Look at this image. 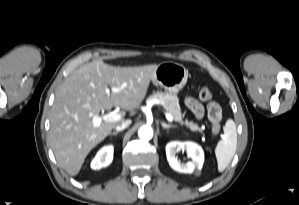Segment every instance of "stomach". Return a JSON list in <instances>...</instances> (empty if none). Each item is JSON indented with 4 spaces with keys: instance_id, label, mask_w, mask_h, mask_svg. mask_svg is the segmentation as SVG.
<instances>
[{
    "instance_id": "stomach-1",
    "label": "stomach",
    "mask_w": 299,
    "mask_h": 205,
    "mask_svg": "<svg viewBox=\"0 0 299 205\" xmlns=\"http://www.w3.org/2000/svg\"><path fill=\"white\" fill-rule=\"evenodd\" d=\"M187 79L188 70L182 64L163 62L157 66L152 81L154 85L177 94L184 88Z\"/></svg>"
}]
</instances>
